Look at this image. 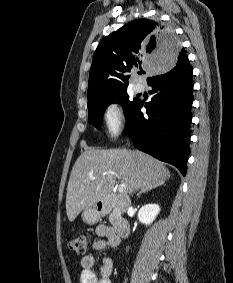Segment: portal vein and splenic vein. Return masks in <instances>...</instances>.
Segmentation results:
<instances>
[{
  "instance_id": "1",
  "label": "portal vein and splenic vein",
  "mask_w": 233,
  "mask_h": 283,
  "mask_svg": "<svg viewBox=\"0 0 233 283\" xmlns=\"http://www.w3.org/2000/svg\"><path fill=\"white\" fill-rule=\"evenodd\" d=\"M103 175H113V176H116L117 178H119L118 174L115 173L114 171L105 172V173H103ZM91 179H95V177L91 176ZM125 189H126V187H125V185L123 183L119 184L118 191L120 193L124 192Z\"/></svg>"
}]
</instances>
